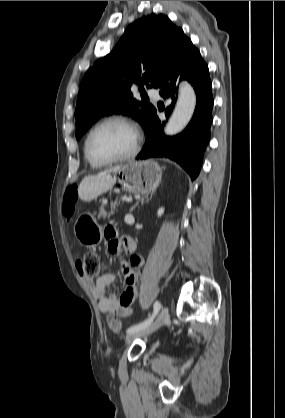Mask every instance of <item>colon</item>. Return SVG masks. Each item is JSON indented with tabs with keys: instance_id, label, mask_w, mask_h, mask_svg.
I'll return each instance as SVG.
<instances>
[{
	"instance_id": "5ec220e1",
	"label": "colon",
	"mask_w": 285,
	"mask_h": 418,
	"mask_svg": "<svg viewBox=\"0 0 285 418\" xmlns=\"http://www.w3.org/2000/svg\"><path fill=\"white\" fill-rule=\"evenodd\" d=\"M62 214L71 221L75 214V194L73 188H67L64 193V201L62 204ZM80 274L86 278H94L100 272V263L98 257L93 253H87L79 257L76 261ZM108 328L112 332L121 331L122 325L120 320L114 314L108 315Z\"/></svg>"
}]
</instances>
